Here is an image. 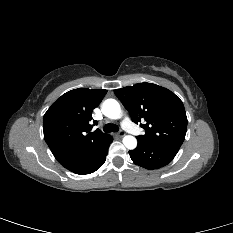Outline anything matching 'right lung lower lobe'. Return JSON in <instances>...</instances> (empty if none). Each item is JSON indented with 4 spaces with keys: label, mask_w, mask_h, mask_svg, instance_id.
Instances as JSON below:
<instances>
[{
    "label": "right lung lower lobe",
    "mask_w": 233,
    "mask_h": 233,
    "mask_svg": "<svg viewBox=\"0 0 233 233\" xmlns=\"http://www.w3.org/2000/svg\"><path fill=\"white\" fill-rule=\"evenodd\" d=\"M113 139L109 136L105 142L98 147V149L77 169L74 173L84 175L90 174L99 169L106 160V155L108 153V147L112 143Z\"/></svg>",
    "instance_id": "98d812e1"
}]
</instances>
